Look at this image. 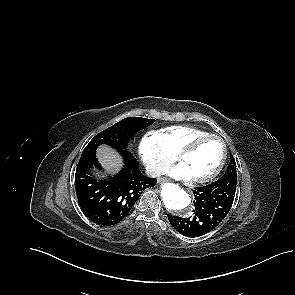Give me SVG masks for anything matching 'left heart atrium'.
<instances>
[{
  "label": "left heart atrium",
  "instance_id": "left-heart-atrium-1",
  "mask_svg": "<svg viewBox=\"0 0 295 295\" xmlns=\"http://www.w3.org/2000/svg\"><path fill=\"white\" fill-rule=\"evenodd\" d=\"M167 173L176 179L190 178L189 172L187 171V169L185 168V166L182 163H180L174 167H171L170 169L167 170Z\"/></svg>",
  "mask_w": 295,
  "mask_h": 295
}]
</instances>
